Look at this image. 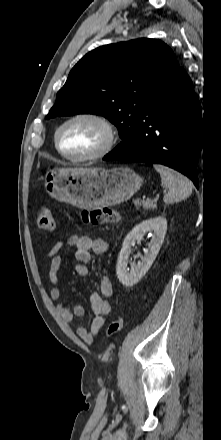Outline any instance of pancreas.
I'll use <instances>...</instances> for the list:
<instances>
[{"mask_svg":"<svg viewBox=\"0 0 221 440\" xmlns=\"http://www.w3.org/2000/svg\"><path fill=\"white\" fill-rule=\"evenodd\" d=\"M134 205L137 208L142 206L143 209L145 210H154L157 207L156 202L152 200H146V201L135 200Z\"/></svg>","mask_w":221,"mask_h":440,"instance_id":"cf45deb5","label":"pancreas"}]
</instances>
